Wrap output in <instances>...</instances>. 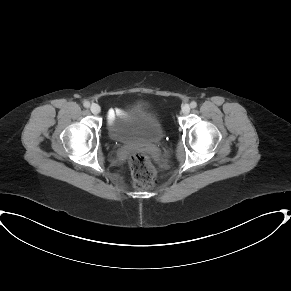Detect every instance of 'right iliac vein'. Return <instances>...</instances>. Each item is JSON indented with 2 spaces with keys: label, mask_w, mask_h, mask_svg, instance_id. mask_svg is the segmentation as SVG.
Returning a JSON list of instances; mask_svg holds the SVG:
<instances>
[{
  "label": "right iliac vein",
  "mask_w": 291,
  "mask_h": 291,
  "mask_svg": "<svg viewBox=\"0 0 291 291\" xmlns=\"http://www.w3.org/2000/svg\"><path fill=\"white\" fill-rule=\"evenodd\" d=\"M90 111H91L93 114L97 115V114L100 113L101 108H100V106H99L98 104L93 103V104L90 106Z\"/></svg>",
  "instance_id": "63e3f726"
}]
</instances>
